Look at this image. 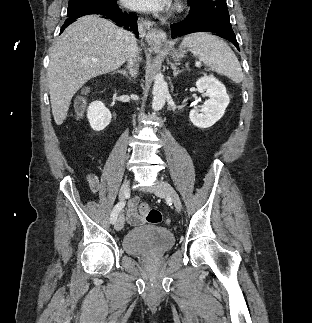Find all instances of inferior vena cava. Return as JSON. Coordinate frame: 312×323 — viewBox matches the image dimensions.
Listing matches in <instances>:
<instances>
[{"mask_svg":"<svg viewBox=\"0 0 312 323\" xmlns=\"http://www.w3.org/2000/svg\"><path fill=\"white\" fill-rule=\"evenodd\" d=\"M127 42L129 44V54L127 58L128 68H130V74H132V78L136 76L137 70L139 68L137 62H140V48H137V42L134 34L132 32H126Z\"/></svg>","mask_w":312,"mask_h":323,"instance_id":"inferior-vena-cava-1","label":"inferior vena cava"}]
</instances>
